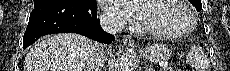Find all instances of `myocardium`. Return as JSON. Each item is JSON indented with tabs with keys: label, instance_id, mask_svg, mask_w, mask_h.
<instances>
[{
	"label": "myocardium",
	"instance_id": "myocardium-1",
	"mask_svg": "<svg viewBox=\"0 0 230 71\" xmlns=\"http://www.w3.org/2000/svg\"><path fill=\"white\" fill-rule=\"evenodd\" d=\"M173 1L179 4L184 9V11L188 16L189 24L183 31L177 33L160 32L150 28L147 24H142L141 29L148 35L162 40H178V39L185 38L189 34H191L197 25L195 13L185 1L182 0H173Z\"/></svg>",
	"mask_w": 230,
	"mask_h": 71
}]
</instances>
